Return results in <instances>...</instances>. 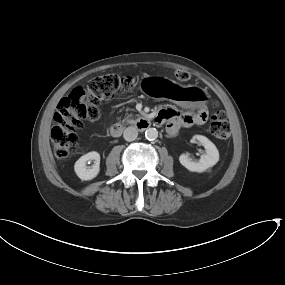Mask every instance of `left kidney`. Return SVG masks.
I'll use <instances>...</instances> for the list:
<instances>
[{"label": "left kidney", "mask_w": 285, "mask_h": 285, "mask_svg": "<svg viewBox=\"0 0 285 285\" xmlns=\"http://www.w3.org/2000/svg\"><path fill=\"white\" fill-rule=\"evenodd\" d=\"M193 139H196L205 148L206 153L201 155L198 162L193 161L188 154H181L179 161L189 171L201 173L219 161V152L207 137L195 135Z\"/></svg>", "instance_id": "left-kidney-1"}]
</instances>
